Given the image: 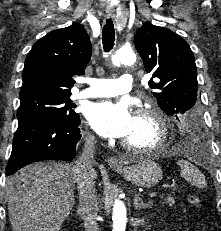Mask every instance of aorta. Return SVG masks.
Returning a JSON list of instances; mask_svg holds the SVG:
<instances>
[{
	"mask_svg": "<svg viewBox=\"0 0 221 231\" xmlns=\"http://www.w3.org/2000/svg\"><path fill=\"white\" fill-rule=\"evenodd\" d=\"M111 61L115 66L131 65L136 61V55L131 48H120L112 56ZM112 231H125L127 223L126 207L123 201L117 199L113 205Z\"/></svg>",
	"mask_w": 221,
	"mask_h": 231,
	"instance_id": "aorta-1",
	"label": "aorta"
}]
</instances>
